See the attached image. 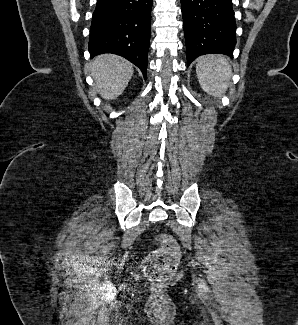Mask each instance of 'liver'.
<instances>
[{
  "instance_id": "6515ba94",
  "label": "liver",
  "mask_w": 298,
  "mask_h": 325,
  "mask_svg": "<svg viewBox=\"0 0 298 325\" xmlns=\"http://www.w3.org/2000/svg\"><path fill=\"white\" fill-rule=\"evenodd\" d=\"M133 72L131 62L117 54H99L91 62L97 92L106 100H113L122 94Z\"/></svg>"
}]
</instances>
